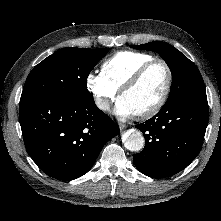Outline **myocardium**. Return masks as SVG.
I'll return each mask as SVG.
<instances>
[{"mask_svg":"<svg viewBox=\"0 0 221 221\" xmlns=\"http://www.w3.org/2000/svg\"><path fill=\"white\" fill-rule=\"evenodd\" d=\"M155 64H161L166 69V73H167L166 86H165L163 94L152 107H150L147 110L134 114L139 119H148L156 115L166 104L169 98V95L171 93L172 84H173V72H172L170 65L163 59H158V58L152 59L144 63L143 65H141L119 89V98H121V96L125 92L133 88L141 80V78L147 72V70Z\"/></svg>","mask_w":221,"mask_h":221,"instance_id":"1","label":"myocardium"}]
</instances>
